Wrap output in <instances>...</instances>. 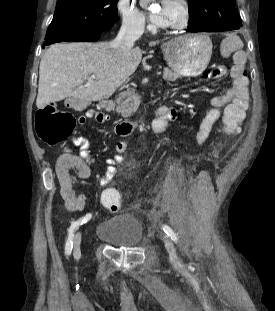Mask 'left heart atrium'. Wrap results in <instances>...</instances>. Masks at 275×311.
<instances>
[{"instance_id":"39dd6f15","label":"left heart atrium","mask_w":275,"mask_h":311,"mask_svg":"<svg viewBox=\"0 0 275 311\" xmlns=\"http://www.w3.org/2000/svg\"><path fill=\"white\" fill-rule=\"evenodd\" d=\"M169 0L158 2L150 12V19L156 26H166V6Z\"/></svg>"}]
</instances>
